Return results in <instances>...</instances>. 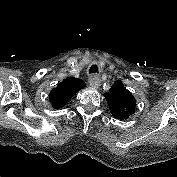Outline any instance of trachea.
<instances>
[{
  "label": "trachea",
  "instance_id": "1",
  "mask_svg": "<svg viewBox=\"0 0 177 177\" xmlns=\"http://www.w3.org/2000/svg\"><path fill=\"white\" fill-rule=\"evenodd\" d=\"M97 72V66L96 65H92L90 70H89V73H96Z\"/></svg>",
  "mask_w": 177,
  "mask_h": 177
}]
</instances>
